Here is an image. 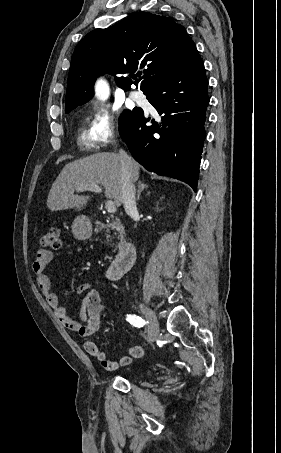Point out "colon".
I'll list each match as a JSON object with an SVG mask.
<instances>
[{
  "instance_id": "5ec220e1",
  "label": "colon",
  "mask_w": 281,
  "mask_h": 453,
  "mask_svg": "<svg viewBox=\"0 0 281 453\" xmlns=\"http://www.w3.org/2000/svg\"><path fill=\"white\" fill-rule=\"evenodd\" d=\"M59 226H49L47 231L42 235L40 245H45L47 251L58 249Z\"/></svg>"
}]
</instances>
